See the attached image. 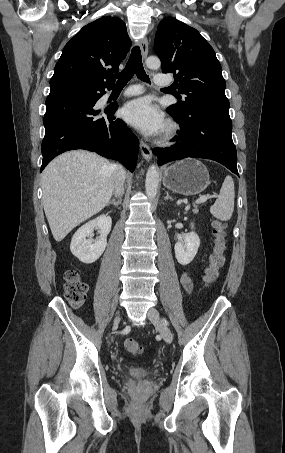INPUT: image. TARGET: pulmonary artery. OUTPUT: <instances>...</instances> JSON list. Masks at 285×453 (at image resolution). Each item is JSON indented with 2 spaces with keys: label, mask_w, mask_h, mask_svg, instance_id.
I'll return each mask as SVG.
<instances>
[{
  "label": "pulmonary artery",
  "mask_w": 285,
  "mask_h": 453,
  "mask_svg": "<svg viewBox=\"0 0 285 453\" xmlns=\"http://www.w3.org/2000/svg\"><path fill=\"white\" fill-rule=\"evenodd\" d=\"M154 82L158 86H163V85L168 84L169 79L165 74L159 73L154 76ZM142 91L143 90L140 86H132V87L126 89L123 92V94L126 96H132V95H138V94L142 93Z\"/></svg>",
  "instance_id": "obj_1"
}]
</instances>
